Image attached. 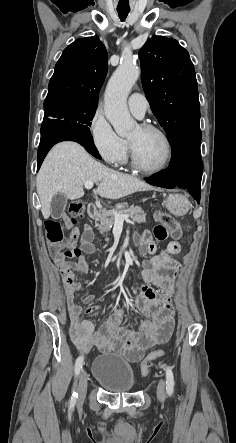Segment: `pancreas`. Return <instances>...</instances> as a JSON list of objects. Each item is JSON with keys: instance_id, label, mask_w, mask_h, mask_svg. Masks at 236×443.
Segmentation results:
<instances>
[{"instance_id": "obj_1", "label": "pancreas", "mask_w": 236, "mask_h": 443, "mask_svg": "<svg viewBox=\"0 0 236 443\" xmlns=\"http://www.w3.org/2000/svg\"><path fill=\"white\" fill-rule=\"evenodd\" d=\"M114 213L124 214V215H130V218L134 222L137 223H146V214L139 206H130L129 208H124L123 206H119L117 210L113 211H102L101 213L97 214L98 219V230L101 234H103L106 231H109L114 222ZM109 239L106 238V241Z\"/></svg>"}]
</instances>
